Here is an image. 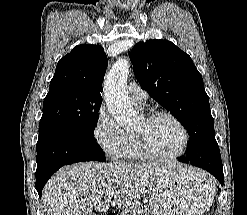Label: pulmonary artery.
Instances as JSON below:
<instances>
[{
    "instance_id": "1",
    "label": "pulmonary artery",
    "mask_w": 247,
    "mask_h": 215,
    "mask_svg": "<svg viewBox=\"0 0 247 215\" xmlns=\"http://www.w3.org/2000/svg\"><path fill=\"white\" fill-rule=\"evenodd\" d=\"M128 92L131 102L141 107L147 99V92L144 91L136 82H131L128 85Z\"/></svg>"
}]
</instances>
